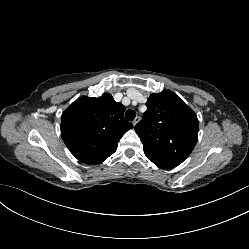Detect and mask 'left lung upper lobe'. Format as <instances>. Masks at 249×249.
<instances>
[{
  "instance_id": "left-lung-upper-lobe-1",
  "label": "left lung upper lobe",
  "mask_w": 249,
  "mask_h": 249,
  "mask_svg": "<svg viewBox=\"0 0 249 249\" xmlns=\"http://www.w3.org/2000/svg\"><path fill=\"white\" fill-rule=\"evenodd\" d=\"M147 111L135 126L144 153L160 168L181 164L192 152L198 137L196 114L172 91L151 94Z\"/></svg>"
}]
</instances>
